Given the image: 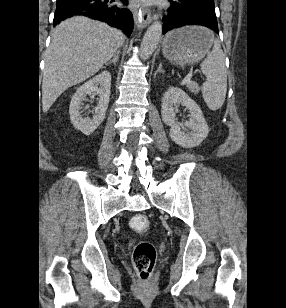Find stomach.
I'll return each mask as SVG.
<instances>
[{"instance_id": "0dacf381", "label": "stomach", "mask_w": 286, "mask_h": 308, "mask_svg": "<svg viewBox=\"0 0 286 308\" xmlns=\"http://www.w3.org/2000/svg\"><path fill=\"white\" fill-rule=\"evenodd\" d=\"M214 42L212 31L201 26H186L169 32L163 40V55L171 61L195 63L209 52Z\"/></svg>"}]
</instances>
